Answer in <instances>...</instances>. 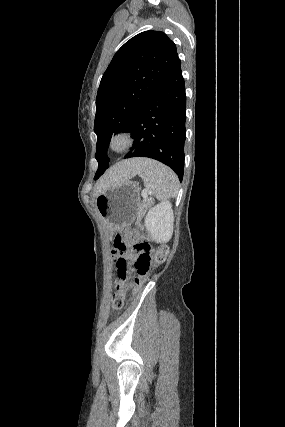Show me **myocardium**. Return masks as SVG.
Segmentation results:
<instances>
[{
  "mask_svg": "<svg viewBox=\"0 0 285 427\" xmlns=\"http://www.w3.org/2000/svg\"><path fill=\"white\" fill-rule=\"evenodd\" d=\"M134 143L133 136L128 130H119L112 134L109 140V149L115 153L128 150Z\"/></svg>",
  "mask_w": 285,
  "mask_h": 427,
  "instance_id": "obj_1",
  "label": "myocardium"
}]
</instances>
